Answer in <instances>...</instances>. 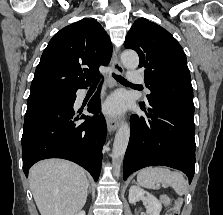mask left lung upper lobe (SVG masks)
<instances>
[{
    "mask_svg": "<svg viewBox=\"0 0 223 215\" xmlns=\"http://www.w3.org/2000/svg\"><path fill=\"white\" fill-rule=\"evenodd\" d=\"M124 46L139 55V68L144 69L145 85L151 91L147 95L148 101H163L194 109L186 55L167 30L139 18L128 32Z\"/></svg>",
    "mask_w": 223,
    "mask_h": 215,
    "instance_id": "1",
    "label": "left lung upper lobe"
}]
</instances>
